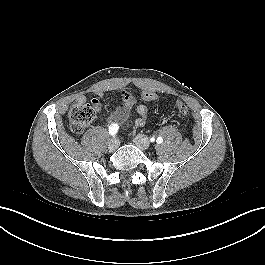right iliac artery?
I'll list each match as a JSON object with an SVG mask.
<instances>
[{"label": "right iliac artery", "mask_w": 265, "mask_h": 265, "mask_svg": "<svg viewBox=\"0 0 265 265\" xmlns=\"http://www.w3.org/2000/svg\"><path fill=\"white\" fill-rule=\"evenodd\" d=\"M118 129H119L118 124H115V123L111 124L109 126V134L112 136H115L118 132Z\"/></svg>", "instance_id": "1"}]
</instances>
